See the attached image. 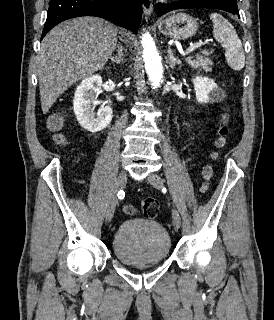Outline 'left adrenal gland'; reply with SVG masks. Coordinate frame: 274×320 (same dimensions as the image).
<instances>
[{
  "instance_id": "left-adrenal-gland-1",
  "label": "left adrenal gland",
  "mask_w": 274,
  "mask_h": 320,
  "mask_svg": "<svg viewBox=\"0 0 274 320\" xmlns=\"http://www.w3.org/2000/svg\"><path fill=\"white\" fill-rule=\"evenodd\" d=\"M170 68H174V66H176V64H181L179 58H174V54L172 52V50H168V60H167Z\"/></svg>"
}]
</instances>
